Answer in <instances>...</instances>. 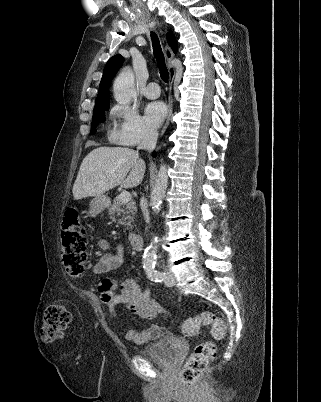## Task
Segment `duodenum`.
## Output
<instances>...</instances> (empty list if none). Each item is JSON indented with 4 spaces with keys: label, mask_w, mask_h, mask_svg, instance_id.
Wrapping results in <instances>:
<instances>
[{
    "label": "duodenum",
    "mask_w": 321,
    "mask_h": 402,
    "mask_svg": "<svg viewBox=\"0 0 321 402\" xmlns=\"http://www.w3.org/2000/svg\"><path fill=\"white\" fill-rule=\"evenodd\" d=\"M128 244L134 250H141L143 239L140 233L133 232L128 235Z\"/></svg>",
    "instance_id": "obj_1"
}]
</instances>
